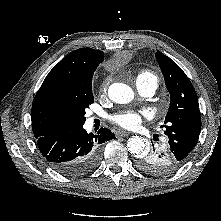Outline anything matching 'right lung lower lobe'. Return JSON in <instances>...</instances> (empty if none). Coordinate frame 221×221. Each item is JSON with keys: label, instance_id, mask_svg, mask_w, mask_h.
Masks as SVG:
<instances>
[{"label": "right lung lower lobe", "instance_id": "98d812e1", "mask_svg": "<svg viewBox=\"0 0 221 221\" xmlns=\"http://www.w3.org/2000/svg\"><path fill=\"white\" fill-rule=\"evenodd\" d=\"M114 138L107 128L94 135L79 126L59 136L39 138L37 145L54 170L71 177L93 170L99 162L101 144Z\"/></svg>", "mask_w": 221, "mask_h": 221}]
</instances>
